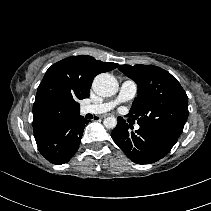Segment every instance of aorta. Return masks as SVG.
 <instances>
[{
    "mask_svg": "<svg viewBox=\"0 0 211 211\" xmlns=\"http://www.w3.org/2000/svg\"><path fill=\"white\" fill-rule=\"evenodd\" d=\"M92 88L99 96L110 97L117 93L118 82L113 75L102 73L94 78ZM103 124L106 128L113 129L117 125V119L113 116L107 117Z\"/></svg>",
    "mask_w": 211,
    "mask_h": 211,
    "instance_id": "762f6f07",
    "label": "aorta"
}]
</instances>
